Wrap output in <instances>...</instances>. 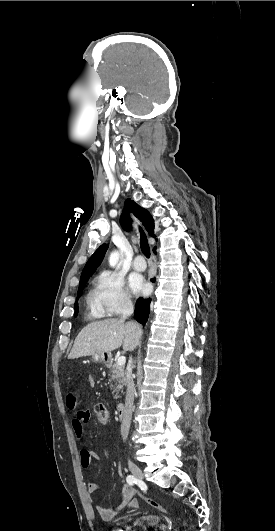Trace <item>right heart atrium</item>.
<instances>
[{"label":"right heart atrium","instance_id":"1","mask_svg":"<svg viewBox=\"0 0 275 531\" xmlns=\"http://www.w3.org/2000/svg\"><path fill=\"white\" fill-rule=\"evenodd\" d=\"M89 299L92 312L100 317L121 315L132 306L131 296L124 288L123 278L110 271L97 275Z\"/></svg>","mask_w":275,"mask_h":531}]
</instances>
